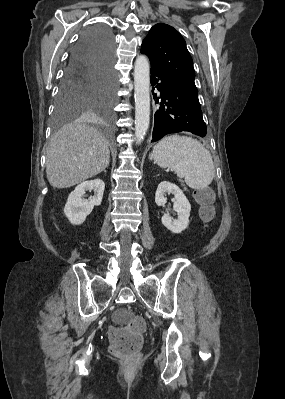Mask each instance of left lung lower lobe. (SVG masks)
<instances>
[{
	"instance_id": "left-lung-lower-lobe-1",
	"label": "left lung lower lobe",
	"mask_w": 285,
	"mask_h": 399,
	"mask_svg": "<svg viewBox=\"0 0 285 399\" xmlns=\"http://www.w3.org/2000/svg\"><path fill=\"white\" fill-rule=\"evenodd\" d=\"M151 84L152 90L157 88L160 91L158 98L153 93L160 107L155 112L151 142H156L167 134L182 131H188L200 137L206 135L207 127L202 117L201 107L166 74L154 66H151Z\"/></svg>"
}]
</instances>
